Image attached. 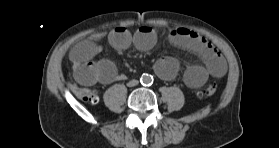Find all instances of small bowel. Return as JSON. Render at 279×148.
Listing matches in <instances>:
<instances>
[{"mask_svg":"<svg viewBox=\"0 0 279 148\" xmlns=\"http://www.w3.org/2000/svg\"><path fill=\"white\" fill-rule=\"evenodd\" d=\"M103 37L102 32L93 33L76 43L70 50L69 58L73 65L74 77L81 85L92 86L97 83L107 85L121 78L112 61L107 59L93 61V58L101 52L98 42ZM108 40L117 52L131 45L141 51H147L155 45L157 37L150 26H142L134 34L124 27H118L108 34ZM169 40L175 46L197 55L204 62V65H190L185 70L184 81L188 87L198 88L209 76L221 78L225 75L227 65L222 55L197 33L178 28L170 32ZM154 68L159 77L170 80L177 74L179 65L175 58L165 56L155 63Z\"/></svg>","mask_w":279,"mask_h":148,"instance_id":"1","label":"small bowel"}]
</instances>
